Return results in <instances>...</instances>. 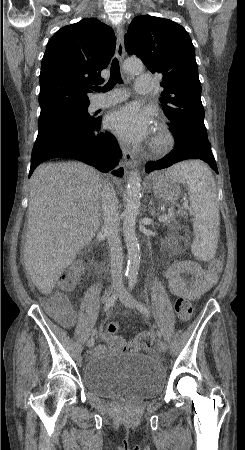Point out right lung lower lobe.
I'll list each match as a JSON object with an SVG mask.
<instances>
[{
  "label": "right lung lower lobe",
  "mask_w": 245,
  "mask_h": 450,
  "mask_svg": "<svg viewBox=\"0 0 245 450\" xmlns=\"http://www.w3.org/2000/svg\"><path fill=\"white\" fill-rule=\"evenodd\" d=\"M101 118H93L83 128L70 129L33 149L29 177L42 162L52 158L83 161L102 172L115 168L122 157L119 145L110 133H100ZM123 176V169L112 171Z\"/></svg>",
  "instance_id": "right-lung-lower-lobe-1"
}]
</instances>
